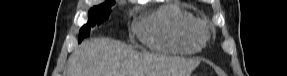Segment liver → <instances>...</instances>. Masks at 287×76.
I'll use <instances>...</instances> for the list:
<instances>
[{"label": "liver", "mask_w": 287, "mask_h": 76, "mask_svg": "<svg viewBox=\"0 0 287 76\" xmlns=\"http://www.w3.org/2000/svg\"><path fill=\"white\" fill-rule=\"evenodd\" d=\"M199 60L142 54L105 37L81 43L69 57L67 76H189Z\"/></svg>", "instance_id": "obj_1"}]
</instances>
